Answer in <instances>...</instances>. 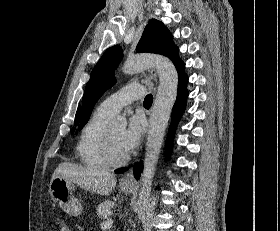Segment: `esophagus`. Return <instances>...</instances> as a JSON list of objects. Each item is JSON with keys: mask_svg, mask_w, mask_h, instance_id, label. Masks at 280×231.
I'll return each mask as SVG.
<instances>
[{"mask_svg": "<svg viewBox=\"0 0 280 231\" xmlns=\"http://www.w3.org/2000/svg\"><path fill=\"white\" fill-rule=\"evenodd\" d=\"M150 76H151L152 80H154V82L157 84V82H158L157 73H156V70H154V68H151ZM132 180H133V176L131 173L125 174V176H123V178H122V181H132Z\"/></svg>", "mask_w": 280, "mask_h": 231, "instance_id": "34e87169", "label": "esophagus"}]
</instances>
